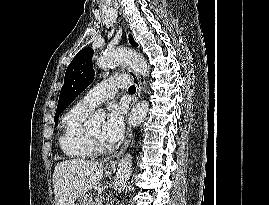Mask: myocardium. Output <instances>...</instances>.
<instances>
[{"label": "myocardium", "instance_id": "1", "mask_svg": "<svg viewBox=\"0 0 269 205\" xmlns=\"http://www.w3.org/2000/svg\"><path fill=\"white\" fill-rule=\"evenodd\" d=\"M87 138L93 153L108 154L114 150L113 146L105 145L97 137H95L89 130H87Z\"/></svg>", "mask_w": 269, "mask_h": 205}]
</instances>
